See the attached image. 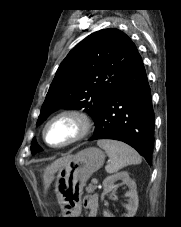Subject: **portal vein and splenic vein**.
<instances>
[{
  "mask_svg": "<svg viewBox=\"0 0 181 227\" xmlns=\"http://www.w3.org/2000/svg\"><path fill=\"white\" fill-rule=\"evenodd\" d=\"M92 183H93V184H97V183H98V180H97L96 178H93V179H92Z\"/></svg>",
  "mask_w": 181,
  "mask_h": 227,
  "instance_id": "obj_1",
  "label": "portal vein and splenic vein"
}]
</instances>
